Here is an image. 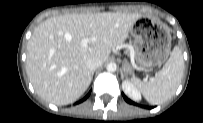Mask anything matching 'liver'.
Listing matches in <instances>:
<instances>
[{"label":"liver","mask_w":203,"mask_h":123,"mask_svg":"<svg viewBox=\"0 0 203 123\" xmlns=\"http://www.w3.org/2000/svg\"><path fill=\"white\" fill-rule=\"evenodd\" d=\"M140 18L139 13L103 12L46 19L27 45L26 70L36 93L56 105L78 100L91 83L86 60L105 62ZM85 38L94 40L83 47Z\"/></svg>","instance_id":"obj_1"}]
</instances>
